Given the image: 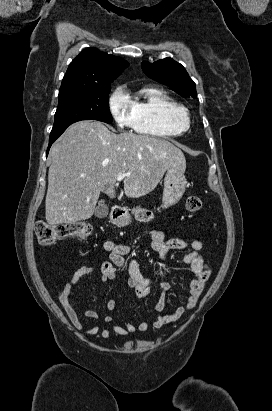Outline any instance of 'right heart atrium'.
Segmentation results:
<instances>
[{
	"label": "right heart atrium",
	"mask_w": 272,
	"mask_h": 411,
	"mask_svg": "<svg viewBox=\"0 0 272 411\" xmlns=\"http://www.w3.org/2000/svg\"><path fill=\"white\" fill-rule=\"evenodd\" d=\"M108 109L116 126L120 129L133 126V106L124 87H117L110 95Z\"/></svg>",
	"instance_id": "obj_1"
}]
</instances>
